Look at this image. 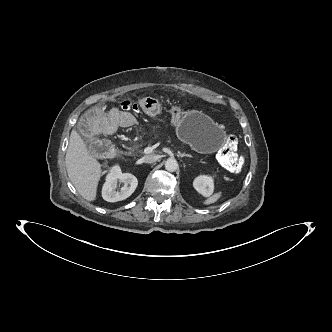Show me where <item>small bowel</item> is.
Listing matches in <instances>:
<instances>
[{
    "mask_svg": "<svg viewBox=\"0 0 332 332\" xmlns=\"http://www.w3.org/2000/svg\"><path fill=\"white\" fill-rule=\"evenodd\" d=\"M139 105L149 113H157L160 110V105L147 96L139 99ZM101 121H106L104 128L111 131L116 128L117 124L123 127L130 126L133 123V117L127 112L113 109L110 103L101 101L96 104L95 108L87 109L77 116L74 126L77 131L81 132L84 141L93 143L100 136L97 125Z\"/></svg>",
    "mask_w": 332,
    "mask_h": 332,
    "instance_id": "small-bowel-1",
    "label": "small bowel"
}]
</instances>
